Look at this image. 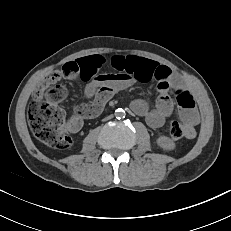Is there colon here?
I'll return each instance as SVG.
<instances>
[{"instance_id": "1", "label": "colon", "mask_w": 231, "mask_h": 231, "mask_svg": "<svg viewBox=\"0 0 231 231\" xmlns=\"http://www.w3.org/2000/svg\"><path fill=\"white\" fill-rule=\"evenodd\" d=\"M73 67L75 66L63 67V72L66 75L74 74L77 71L75 68L73 71ZM67 93L65 86L49 84L33 98L28 108V121L32 133L43 143L57 149H67L71 146L72 140L68 135V128L77 124L80 119L72 115L65 122V114L59 103L66 98ZM169 133L173 139H181L185 135V126L179 121H172Z\"/></svg>"}]
</instances>
